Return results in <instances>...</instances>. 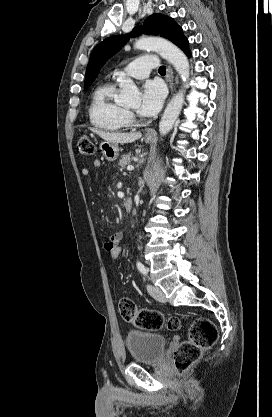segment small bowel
<instances>
[{
  "instance_id": "small-bowel-1",
  "label": "small bowel",
  "mask_w": 272,
  "mask_h": 417,
  "mask_svg": "<svg viewBox=\"0 0 272 417\" xmlns=\"http://www.w3.org/2000/svg\"><path fill=\"white\" fill-rule=\"evenodd\" d=\"M94 167L96 168H101L103 166V161L100 159H96L93 162ZM90 169L88 167H84L81 170V174L84 177H89L90 176ZM123 233L122 232H116L113 235L109 236L103 243V248L106 250V247L108 246L109 243H111L112 241H122L123 240Z\"/></svg>"
}]
</instances>
